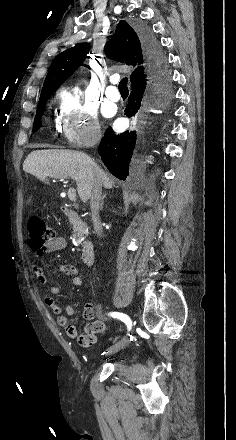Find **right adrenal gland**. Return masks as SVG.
Wrapping results in <instances>:
<instances>
[{
  "mask_svg": "<svg viewBox=\"0 0 236 440\" xmlns=\"http://www.w3.org/2000/svg\"><path fill=\"white\" fill-rule=\"evenodd\" d=\"M105 197H106V194H104L102 199H101V204H100L101 209L103 208V203H104Z\"/></svg>",
  "mask_w": 236,
  "mask_h": 440,
  "instance_id": "right-adrenal-gland-1",
  "label": "right adrenal gland"
}]
</instances>
